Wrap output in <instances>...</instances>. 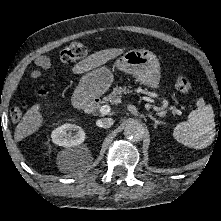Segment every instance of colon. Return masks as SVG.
Returning <instances> with one entry per match:
<instances>
[{"label":"colon","mask_w":221,"mask_h":221,"mask_svg":"<svg viewBox=\"0 0 221 221\" xmlns=\"http://www.w3.org/2000/svg\"><path fill=\"white\" fill-rule=\"evenodd\" d=\"M89 53V47L80 42H72L64 46L59 54L60 61L64 63H69L77 61L86 57ZM177 89L184 93H190L192 91L193 85L191 80L185 76H179L176 83ZM45 95L43 90L38 91L37 96L42 98ZM32 99L24 100L20 105L14 106L10 111V118L13 121H18L23 114L25 108L28 107Z\"/></svg>","instance_id":"5ec220e1"}]
</instances>
